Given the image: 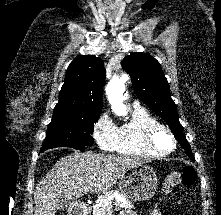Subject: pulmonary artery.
Returning <instances> with one entry per match:
<instances>
[{"mask_svg":"<svg viewBox=\"0 0 221 215\" xmlns=\"http://www.w3.org/2000/svg\"><path fill=\"white\" fill-rule=\"evenodd\" d=\"M134 106H135V107H138V106H139V104H138L137 102H135V103H134Z\"/></svg>","mask_w":221,"mask_h":215,"instance_id":"1","label":"pulmonary artery"}]
</instances>
